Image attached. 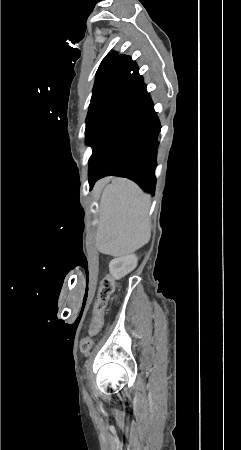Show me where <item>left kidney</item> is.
<instances>
[{"label":"left kidney","instance_id":"left-kidney-1","mask_svg":"<svg viewBox=\"0 0 241 450\" xmlns=\"http://www.w3.org/2000/svg\"><path fill=\"white\" fill-rule=\"evenodd\" d=\"M138 258L135 254L131 256H122V258H114L109 264L110 274H112L115 280L124 278L130 272H133L137 266Z\"/></svg>","mask_w":241,"mask_h":450}]
</instances>
